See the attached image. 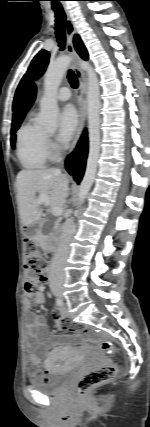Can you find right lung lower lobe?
I'll list each match as a JSON object with an SVG mask.
<instances>
[{
  "label": "right lung lower lobe",
  "instance_id": "obj_1",
  "mask_svg": "<svg viewBox=\"0 0 150 427\" xmlns=\"http://www.w3.org/2000/svg\"><path fill=\"white\" fill-rule=\"evenodd\" d=\"M88 152V141L86 132L82 135L75 151L67 158L66 167L69 173L74 176L76 182H80L85 169V162Z\"/></svg>",
  "mask_w": 150,
  "mask_h": 427
}]
</instances>
